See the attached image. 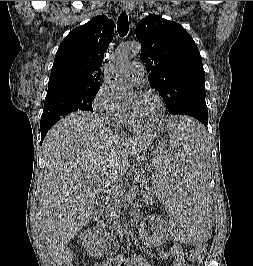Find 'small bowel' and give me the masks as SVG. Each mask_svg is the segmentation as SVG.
I'll list each match as a JSON object with an SVG mask.
<instances>
[{
    "mask_svg": "<svg viewBox=\"0 0 253 266\" xmlns=\"http://www.w3.org/2000/svg\"><path fill=\"white\" fill-rule=\"evenodd\" d=\"M68 256V255H67ZM65 257V260L67 258ZM160 257L163 260L169 261L170 266H192L185 263L182 257V249L181 248H173L171 251H163L160 253ZM95 266H116L115 263L110 264H102L97 263ZM126 266H151L140 256H133L129 261H127Z\"/></svg>",
    "mask_w": 253,
    "mask_h": 266,
    "instance_id": "obj_1",
    "label": "small bowel"
}]
</instances>
